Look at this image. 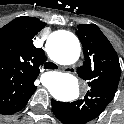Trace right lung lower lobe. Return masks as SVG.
I'll list each match as a JSON object with an SVG mask.
<instances>
[{
  "mask_svg": "<svg viewBox=\"0 0 124 124\" xmlns=\"http://www.w3.org/2000/svg\"><path fill=\"white\" fill-rule=\"evenodd\" d=\"M23 108V107H22ZM21 108V109H22ZM21 109H19L18 111H20ZM18 111H14V112H9V113H4V114H12V113H15V112H18Z\"/></svg>",
  "mask_w": 124,
  "mask_h": 124,
  "instance_id": "right-lung-lower-lobe-1",
  "label": "right lung lower lobe"
}]
</instances>
